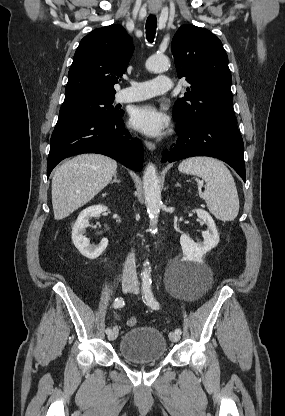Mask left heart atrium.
<instances>
[{
    "mask_svg": "<svg viewBox=\"0 0 285 416\" xmlns=\"http://www.w3.org/2000/svg\"><path fill=\"white\" fill-rule=\"evenodd\" d=\"M130 120L136 129L153 137L163 134L168 125L167 117L149 104L136 107Z\"/></svg>",
    "mask_w": 285,
    "mask_h": 416,
    "instance_id": "39dd6f15",
    "label": "left heart atrium"
}]
</instances>
